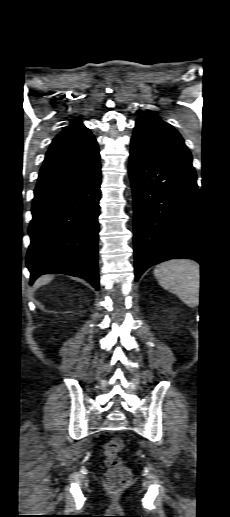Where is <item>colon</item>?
Here are the masks:
<instances>
[{"label":"colon","instance_id":"5ec220e1","mask_svg":"<svg viewBox=\"0 0 230 517\" xmlns=\"http://www.w3.org/2000/svg\"><path fill=\"white\" fill-rule=\"evenodd\" d=\"M124 442L119 437L109 440L103 447L105 462L108 467L105 474V487L110 492L124 489L131 480V473L118 454L123 450Z\"/></svg>","mask_w":230,"mask_h":517}]
</instances>
